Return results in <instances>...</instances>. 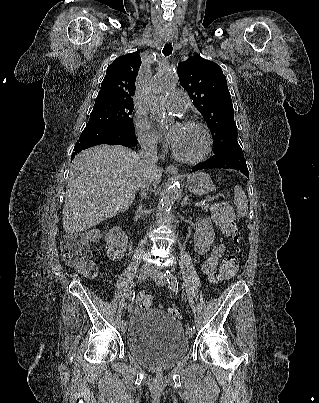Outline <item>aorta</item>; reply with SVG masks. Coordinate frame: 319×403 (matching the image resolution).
<instances>
[{
	"instance_id": "1",
	"label": "aorta",
	"mask_w": 319,
	"mask_h": 403,
	"mask_svg": "<svg viewBox=\"0 0 319 403\" xmlns=\"http://www.w3.org/2000/svg\"><path fill=\"white\" fill-rule=\"evenodd\" d=\"M177 83L175 74L167 69H161L151 80L147 88L150 116L156 122L163 124L166 120L162 99ZM179 194V185L168 186L162 196L161 204L165 213H169Z\"/></svg>"
}]
</instances>
